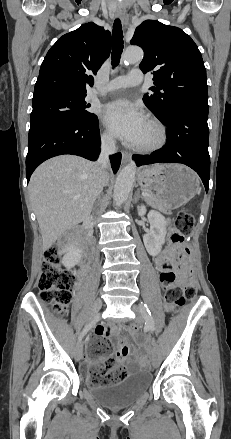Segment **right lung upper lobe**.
Masks as SVG:
<instances>
[{"label": "right lung upper lobe", "instance_id": "1", "mask_svg": "<svg viewBox=\"0 0 231 439\" xmlns=\"http://www.w3.org/2000/svg\"><path fill=\"white\" fill-rule=\"evenodd\" d=\"M111 51V34L93 22L60 37L41 65L33 98L50 93L86 95Z\"/></svg>", "mask_w": 231, "mask_h": 439}]
</instances>
